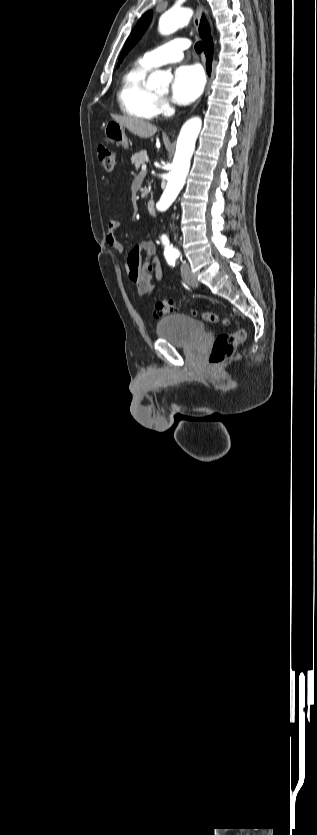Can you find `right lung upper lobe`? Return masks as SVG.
I'll return each mask as SVG.
<instances>
[{"label": "right lung upper lobe", "instance_id": "cb5924a9", "mask_svg": "<svg viewBox=\"0 0 317 835\" xmlns=\"http://www.w3.org/2000/svg\"><path fill=\"white\" fill-rule=\"evenodd\" d=\"M207 28H209L208 23H207L206 19L204 17H202L201 22H200V28H199L200 35L203 34L204 30L207 29Z\"/></svg>", "mask_w": 317, "mask_h": 835}]
</instances>
